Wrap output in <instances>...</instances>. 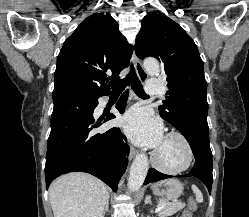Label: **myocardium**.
I'll return each mask as SVG.
<instances>
[{"label": "myocardium", "instance_id": "f54148a6", "mask_svg": "<svg viewBox=\"0 0 249 217\" xmlns=\"http://www.w3.org/2000/svg\"><path fill=\"white\" fill-rule=\"evenodd\" d=\"M167 139H175L183 147L184 158L182 162L175 166H168L164 164L158 156V149H157L152 153V156H151V161L153 165L161 172H164L167 174H179L181 172L186 171L191 166L193 159H194L193 148L189 140L182 133L178 131H171L167 133L164 137V140H167Z\"/></svg>", "mask_w": 249, "mask_h": 217}]
</instances>
